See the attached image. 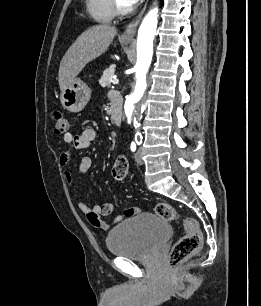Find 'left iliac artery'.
<instances>
[{"instance_id": "left-iliac-artery-1", "label": "left iliac artery", "mask_w": 261, "mask_h": 306, "mask_svg": "<svg viewBox=\"0 0 261 306\" xmlns=\"http://www.w3.org/2000/svg\"><path fill=\"white\" fill-rule=\"evenodd\" d=\"M135 140H136V143H137L138 145H140V144L142 143V136L139 135V134H136ZM135 150H136V144H135V142H132V143H131V151L134 152Z\"/></svg>"}]
</instances>
